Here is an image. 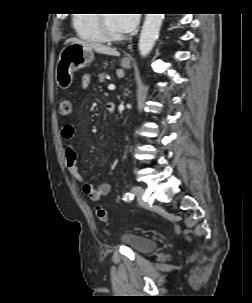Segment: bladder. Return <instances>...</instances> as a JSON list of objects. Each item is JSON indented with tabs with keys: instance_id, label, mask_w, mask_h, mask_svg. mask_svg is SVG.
Wrapping results in <instances>:
<instances>
[{
	"instance_id": "obj_1",
	"label": "bladder",
	"mask_w": 252,
	"mask_h": 303,
	"mask_svg": "<svg viewBox=\"0 0 252 303\" xmlns=\"http://www.w3.org/2000/svg\"><path fill=\"white\" fill-rule=\"evenodd\" d=\"M122 240L140 254L149 253L158 247L155 239L131 232L124 234Z\"/></svg>"
}]
</instances>
